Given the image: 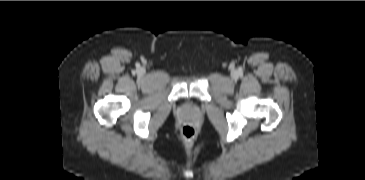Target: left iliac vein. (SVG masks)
<instances>
[{
	"label": "left iliac vein",
	"mask_w": 365,
	"mask_h": 180,
	"mask_svg": "<svg viewBox=\"0 0 365 180\" xmlns=\"http://www.w3.org/2000/svg\"><path fill=\"white\" fill-rule=\"evenodd\" d=\"M232 77H233V78H235V77H236V74H235V73H233V74H232Z\"/></svg>",
	"instance_id": "obj_1"
}]
</instances>
